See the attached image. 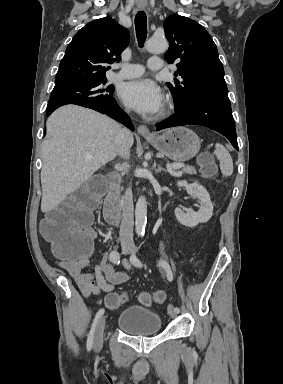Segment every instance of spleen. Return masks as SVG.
<instances>
[{"label":"spleen","mask_w":283,"mask_h":384,"mask_svg":"<svg viewBox=\"0 0 283 384\" xmlns=\"http://www.w3.org/2000/svg\"><path fill=\"white\" fill-rule=\"evenodd\" d=\"M215 156H217L220 164L221 174H223L224 178L226 176H232L233 174V160L226 148L221 146V144H215Z\"/></svg>","instance_id":"3e777b00"}]
</instances>
